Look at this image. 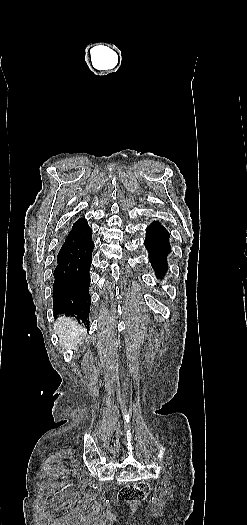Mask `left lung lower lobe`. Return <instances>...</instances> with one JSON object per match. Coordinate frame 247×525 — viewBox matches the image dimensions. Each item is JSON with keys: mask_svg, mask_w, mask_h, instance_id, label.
Here are the masks:
<instances>
[{"mask_svg": "<svg viewBox=\"0 0 247 525\" xmlns=\"http://www.w3.org/2000/svg\"><path fill=\"white\" fill-rule=\"evenodd\" d=\"M144 245L157 277H162L167 270L166 257L171 251L168 231L159 222L151 223L146 229Z\"/></svg>", "mask_w": 247, "mask_h": 525, "instance_id": "0a47b994", "label": "left lung lower lobe"}]
</instances>
